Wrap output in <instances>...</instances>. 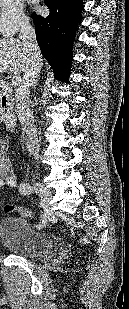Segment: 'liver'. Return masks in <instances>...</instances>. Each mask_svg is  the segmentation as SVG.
I'll list each match as a JSON object with an SVG mask.
<instances>
[{
    "instance_id": "liver-1",
    "label": "liver",
    "mask_w": 129,
    "mask_h": 309,
    "mask_svg": "<svg viewBox=\"0 0 129 309\" xmlns=\"http://www.w3.org/2000/svg\"><path fill=\"white\" fill-rule=\"evenodd\" d=\"M41 64L43 59L41 57ZM30 66L27 49L19 39H0V73L8 71L19 76Z\"/></svg>"
}]
</instances>
